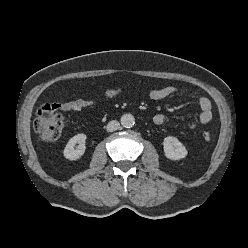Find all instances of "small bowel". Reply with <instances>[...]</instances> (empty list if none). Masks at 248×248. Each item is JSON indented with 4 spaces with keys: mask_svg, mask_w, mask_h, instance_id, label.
I'll return each instance as SVG.
<instances>
[{
    "mask_svg": "<svg viewBox=\"0 0 248 248\" xmlns=\"http://www.w3.org/2000/svg\"><path fill=\"white\" fill-rule=\"evenodd\" d=\"M177 93V88L174 86H165L161 88L152 89L149 91V98L155 101L162 100L173 96ZM199 106L201 109L199 118L196 122H192L189 125L190 129H195L200 125H205L210 122L212 119V104L208 97L200 95L199 99ZM96 102L89 99H77V100H70V101H57L51 104H44L40 108V113L43 112H51L55 110H61L63 112H77L81 111L82 109L88 108L94 105ZM166 118L163 114H156L153 118V121L156 125H163Z\"/></svg>",
    "mask_w": 248,
    "mask_h": 248,
    "instance_id": "obj_1",
    "label": "small bowel"
}]
</instances>
